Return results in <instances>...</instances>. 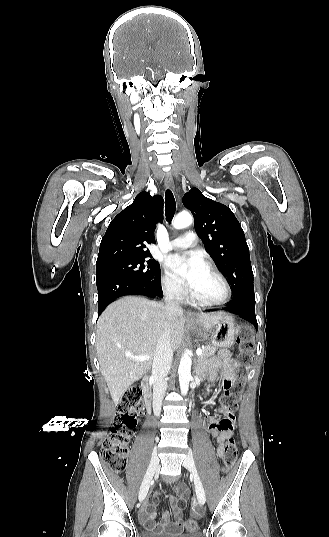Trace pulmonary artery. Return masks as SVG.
I'll use <instances>...</instances> for the list:
<instances>
[{"mask_svg":"<svg viewBox=\"0 0 329 537\" xmlns=\"http://www.w3.org/2000/svg\"><path fill=\"white\" fill-rule=\"evenodd\" d=\"M196 244H197L196 234L192 231H189L185 233L183 236L172 240L168 245V249L182 250V249L194 247Z\"/></svg>","mask_w":329,"mask_h":537,"instance_id":"e3ab8cb5","label":"pulmonary artery"}]
</instances>
